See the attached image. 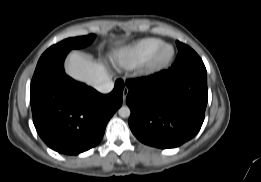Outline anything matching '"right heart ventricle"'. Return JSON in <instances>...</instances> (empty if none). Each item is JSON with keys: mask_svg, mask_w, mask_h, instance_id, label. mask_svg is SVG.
Returning <instances> with one entry per match:
<instances>
[{"mask_svg": "<svg viewBox=\"0 0 261 182\" xmlns=\"http://www.w3.org/2000/svg\"><path fill=\"white\" fill-rule=\"evenodd\" d=\"M163 44L164 41L158 38L141 39L122 51L121 62L129 67L141 65Z\"/></svg>", "mask_w": 261, "mask_h": 182, "instance_id": "right-heart-ventricle-1", "label": "right heart ventricle"}]
</instances>
